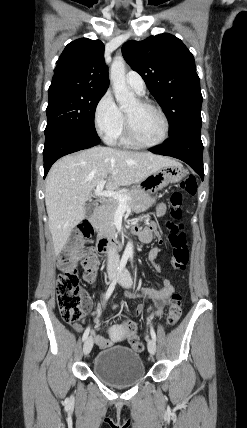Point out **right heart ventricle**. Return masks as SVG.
<instances>
[{
	"label": "right heart ventricle",
	"instance_id": "1",
	"mask_svg": "<svg viewBox=\"0 0 247 428\" xmlns=\"http://www.w3.org/2000/svg\"><path fill=\"white\" fill-rule=\"evenodd\" d=\"M119 143L123 146L129 147L132 146L133 144L129 141V139L127 138L126 133L124 132V130H122V132L120 133L119 137H118Z\"/></svg>",
	"mask_w": 247,
	"mask_h": 428
}]
</instances>
